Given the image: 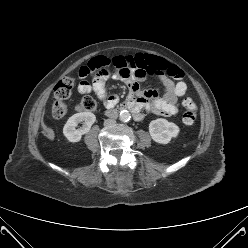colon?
Returning a JSON list of instances; mask_svg holds the SVG:
<instances>
[{
    "label": "colon",
    "instance_id": "1",
    "mask_svg": "<svg viewBox=\"0 0 248 248\" xmlns=\"http://www.w3.org/2000/svg\"><path fill=\"white\" fill-rule=\"evenodd\" d=\"M131 63L127 58L119 56H98L91 59L86 68V75L95 72H106L114 70L118 73L126 75L129 73ZM74 86V78L72 76H65L60 79L54 87V103L52 105V115L55 118H62L68 112V105L66 100L71 96ZM184 109L182 121L185 125L191 126L197 120L196 104L191 98H186L182 102ZM96 108V102L91 97L83 98L77 105L79 111H93Z\"/></svg>",
    "mask_w": 248,
    "mask_h": 248
}]
</instances>
